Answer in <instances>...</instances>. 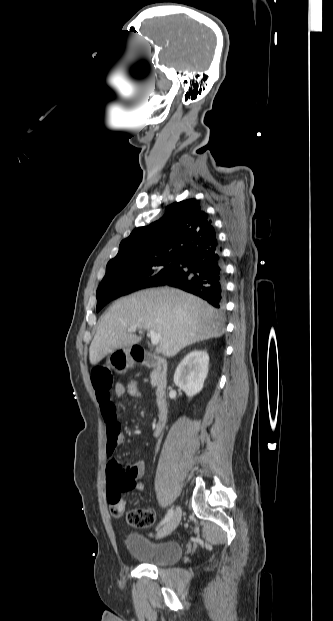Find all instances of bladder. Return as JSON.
<instances>
[{"label":"bladder","mask_w":333,"mask_h":621,"mask_svg":"<svg viewBox=\"0 0 333 621\" xmlns=\"http://www.w3.org/2000/svg\"><path fill=\"white\" fill-rule=\"evenodd\" d=\"M126 545L134 560L156 567L173 564L183 555V548L177 541L154 542L147 535L136 532L128 534Z\"/></svg>","instance_id":"31cf9c89"}]
</instances>
